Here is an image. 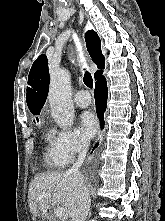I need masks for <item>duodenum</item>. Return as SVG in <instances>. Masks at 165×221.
<instances>
[{
    "label": "duodenum",
    "instance_id": "1",
    "mask_svg": "<svg viewBox=\"0 0 165 221\" xmlns=\"http://www.w3.org/2000/svg\"><path fill=\"white\" fill-rule=\"evenodd\" d=\"M44 221H51L49 217L45 218Z\"/></svg>",
    "mask_w": 165,
    "mask_h": 221
}]
</instances>
